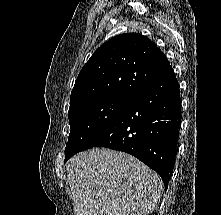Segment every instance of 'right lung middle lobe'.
Returning <instances> with one entry per match:
<instances>
[{"instance_id": "obj_1", "label": "right lung middle lobe", "mask_w": 221, "mask_h": 215, "mask_svg": "<svg viewBox=\"0 0 221 215\" xmlns=\"http://www.w3.org/2000/svg\"><path fill=\"white\" fill-rule=\"evenodd\" d=\"M131 97L105 95L70 105L71 131L65 148V161L89 148L116 120Z\"/></svg>"}]
</instances>
